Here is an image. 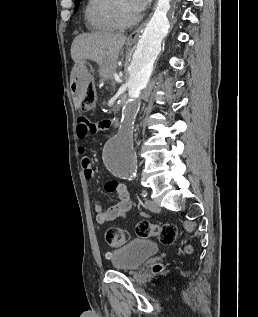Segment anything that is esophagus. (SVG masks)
<instances>
[{"label":"esophagus","instance_id":"34e87169","mask_svg":"<svg viewBox=\"0 0 258 317\" xmlns=\"http://www.w3.org/2000/svg\"><path fill=\"white\" fill-rule=\"evenodd\" d=\"M146 23H147V20L143 22L142 25H140V27L136 28V30L130 33V35L128 36V40L137 39L140 36L141 32L143 31Z\"/></svg>","mask_w":258,"mask_h":317}]
</instances>
